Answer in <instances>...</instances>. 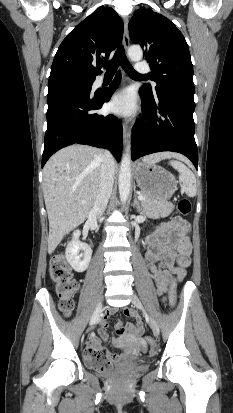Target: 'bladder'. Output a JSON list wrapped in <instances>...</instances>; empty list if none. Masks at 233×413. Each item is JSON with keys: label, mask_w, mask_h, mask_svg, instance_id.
<instances>
[{"label": "bladder", "mask_w": 233, "mask_h": 413, "mask_svg": "<svg viewBox=\"0 0 233 413\" xmlns=\"http://www.w3.org/2000/svg\"><path fill=\"white\" fill-rule=\"evenodd\" d=\"M148 368H149L148 365H139L137 367L130 369L126 374L127 375L141 374V373L146 372Z\"/></svg>", "instance_id": "31cf9c89"}]
</instances>
